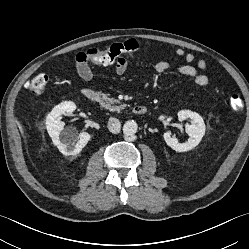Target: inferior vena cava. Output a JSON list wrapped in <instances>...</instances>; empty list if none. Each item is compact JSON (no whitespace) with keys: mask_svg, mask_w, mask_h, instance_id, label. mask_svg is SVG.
Wrapping results in <instances>:
<instances>
[{"mask_svg":"<svg viewBox=\"0 0 249 249\" xmlns=\"http://www.w3.org/2000/svg\"><path fill=\"white\" fill-rule=\"evenodd\" d=\"M121 124L116 118H110L108 121V129L112 133H118L120 131Z\"/></svg>","mask_w":249,"mask_h":249,"instance_id":"1","label":"inferior vena cava"}]
</instances>
